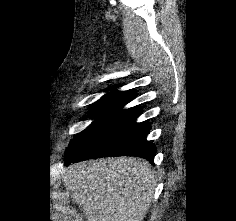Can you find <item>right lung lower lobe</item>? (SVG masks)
Listing matches in <instances>:
<instances>
[{
    "instance_id": "1",
    "label": "right lung lower lobe",
    "mask_w": 236,
    "mask_h": 221,
    "mask_svg": "<svg viewBox=\"0 0 236 221\" xmlns=\"http://www.w3.org/2000/svg\"><path fill=\"white\" fill-rule=\"evenodd\" d=\"M141 111L138 107L121 109L66 156L65 165L109 156H135L152 162L156 148L146 140L150 125L136 122Z\"/></svg>"
}]
</instances>
